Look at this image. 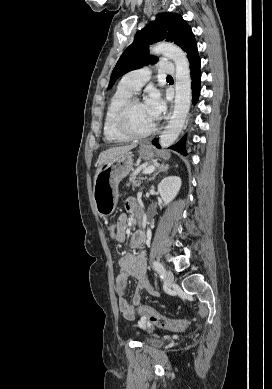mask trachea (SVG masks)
<instances>
[{
	"mask_svg": "<svg viewBox=\"0 0 272 389\" xmlns=\"http://www.w3.org/2000/svg\"><path fill=\"white\" fill-rule=\"evenodd\" d=\"M167 78H171V76H167Z\"/></svg>",
	"mask_w": 272,
	"mask_h": 389,
	"instance_id": "obj_1",
	"label": "trachea"
}]
</instances>
